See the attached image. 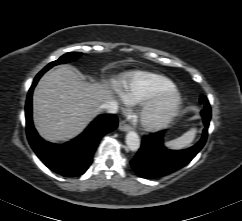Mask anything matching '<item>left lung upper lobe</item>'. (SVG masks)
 I'll return each instance as SVG.
<instances>
[{
  "mask_svg": "<svg viewBox=\"0 0 242 221\" xmlns=\"http://www.w3.org/2000/svg\"><path fill=\"white\" fill-rule=\"evenodd\" d=\"M200 102L203 103V104L205 103V101L203 99H200Z\"/></svg>",
  "mask_w": 242,
  "mask_h": 221,
  "instance_id": "left-lung-upper-lobe-1",
  "label": "left lung upper lobe"
}]
</instances>
